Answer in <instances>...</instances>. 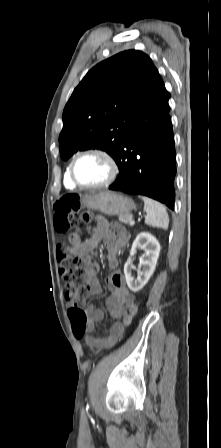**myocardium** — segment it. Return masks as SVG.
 I'll return each instance as SVG.
<instances>
[{
	"label": "myocardium",
	"instance_id": "f54148a6",
	"mask_svg": "<svg viewBox=\"0 0 221 448\" xmlns=\"http://www.w3.org/2000/svg\"><path fill=\"white\" fill-rule=\"evenodd\" d=\"M86 155H98L106 161V163L108 164L109 170H110V175L105 181H103L99 184H84L78 180V178L76 177V174H75V168H76L77 162L82 157H84ZM118 174H119V166H118V163L115 160V158L109 152L102 150V149H97V148L89 149V150L83 151L80 154H78L71 162L70 168H69V177H70L71 182L74 185H76L77 187H80L83 189H99V188L108 187L115 182V180L118 177Z\"/></svg>",
	"mask_w": 221,
	"mask_h": 448
}]
</instances>
